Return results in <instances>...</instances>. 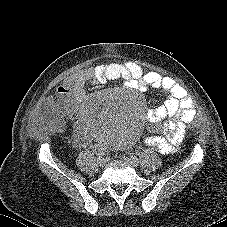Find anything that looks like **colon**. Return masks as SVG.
I'll return each mask as SVG.
<instances>
[{
  "label": "colon",
  "instance_id": "obj_1",
  "mask_svg": "<svg viewBox=\"0 0 227 227\" xmlns=\"http://www.w3.org/2000/svg\"><path fill=\"white\" fill-rule=\"evenodd\" d=\"M180 136L186 140H193L195 138V131L189 125H185L180 129Z\"/></svg>",
  "mask_w": 227,
  "mask_h": 227
}]
</instances>
